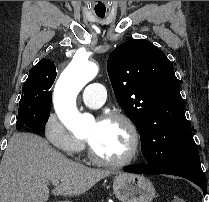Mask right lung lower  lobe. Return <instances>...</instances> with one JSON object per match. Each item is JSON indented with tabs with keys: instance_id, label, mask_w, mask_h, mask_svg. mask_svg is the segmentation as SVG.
Segmentation results:
<instances>
[{
	"instance_id": "obj_1",
	"label": "right lung lower lobe",
	"mask_w": 209,
	"mask_h": 202,
	"mask_svg": "<svg viewBox=\"0 0 209 202\" xmlns=\"http://www.w3.org/2000/svg\"><path fill=\"white\" fill-rule=\"evenodd\" d=\"M29 128V127H28ZM31 129H40V128H31Z\"/></svg>"
}]
</instances>
